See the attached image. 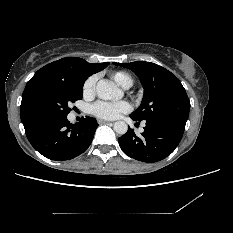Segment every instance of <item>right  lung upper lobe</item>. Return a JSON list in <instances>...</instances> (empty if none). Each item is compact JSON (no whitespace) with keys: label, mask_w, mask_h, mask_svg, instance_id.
<instances>
[{"label":"right lung upper lobe","mask_w":233,"mask_h":233,"mask_svg":"<svg viewBox=\"0 0 233 233\" xmlns=\"http://www.w3.org/2000/svg\"><path fill=\"white\" fill-rule=\"evenodd\" d=\"M109 65L105 63H88L82 58L68 57L58 61H54L39 69L34 76L28 81L22 94V102L20 107L21 121L25 130L36 124L28 109V101L32 91L41 83L47 81H70L81 82L92 74L97 73Z\"/></svg>","instance_id":"1"}]
</instances>
